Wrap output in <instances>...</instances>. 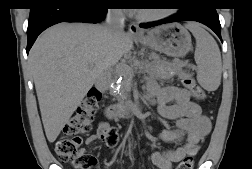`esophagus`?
<instances>
[{
	"label": "esophagus",
	"mask_w": 252,
	"mask_h": 169,
	"mask_svg": "<svg viewBox=\"0 0 252 169\" xmlns=\"http://www.w3.org/2000/svg\"><path fill=\"white\" fill-rule=\"evenodd\" d=\"M129 33L133 36H140L142 32L140 31L138 25L136 23H131L129 25Z\"/></svg>",
	"instance_id": "esophagus-1"
}]
</instances>
